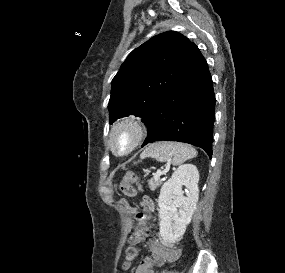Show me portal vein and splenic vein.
<instances>
[{"label":"portal vein and splenic vein","instance_id":"18ae733b","mask_svg":"<svg viewBox=\"0 0 285 273\" xmlns=\"http://www.w3.org/2000/svg\"><path fill=\"white\" fill-rule=\"evenodd\" d=\"M162 174L163 172L161 170L157 171L156 174H154V179H159Z\"/></svg>","mask_w":285,"mask_h":273}]
</instances>
